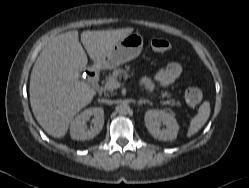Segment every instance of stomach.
<instances>
[{"mask_svg": "<svg viewBox=\"0 0 249 188\" xmlns=\"http://www.w3.org/2000/svg\"><path fill=\"white\" fill-rule=\"evenodd\" d=\"M143 47V37L139 33H131L118 41L97 61L96 68L114 69L136 58Z\"/></svg>", "mask_w": 249, "mask_h": 188, "instance_id": "stomach-1", "label": "stomach"}]
</instances>
